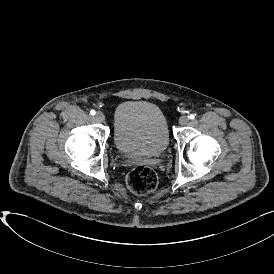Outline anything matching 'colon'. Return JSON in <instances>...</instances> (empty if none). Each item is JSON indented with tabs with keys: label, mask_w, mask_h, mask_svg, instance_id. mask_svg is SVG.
I'll list each match as a JSON object with an SVG mask.
<instances>
[{
	"label": "colon",
	"mask_w": 274,
	"mask_h": 274,
	"mask_svg": "<svg viewBox=\"0 0 274 274\" xmlns=\"http://www.w3.org/2000/svg\"><path fill=\"white\" fill-rule=\"evenodd\" d=\"M128 189L136 195H146L157 186L155 172L147 167L133 169L127 177Z\"/></svg>",
	"instance_id": "5ec220e1"
}]
</instances>
